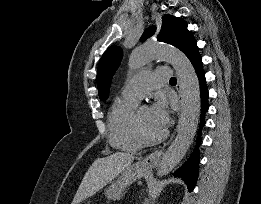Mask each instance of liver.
<instances>
[{
	"label": "liver",
	"mask_w": 261,
	"mask_h": 204,
	"mask_svg": "<svg viewBox=\"0 0 261 204\" xmlns=\"http://www.w3.org/2000/svg\"><path fill=\"white\" fill-rule=\"evenodd\" d=\"M134 159L133 155L123 152L97 158L86 172L71 204H79L94 195L128 168Z\"/></svg>",
	"instance_id": "liver-1"
}]
</instances>
